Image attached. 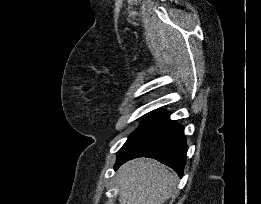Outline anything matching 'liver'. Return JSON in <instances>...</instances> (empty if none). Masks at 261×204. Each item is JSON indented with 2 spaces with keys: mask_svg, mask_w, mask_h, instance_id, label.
Masks as SVG:
<instances>
[{
  "mask_svg": "<svg viewBox=\"0 0 261 204\" xmlns=\"http://www.w3.org/2000/svg\"><path fill=\"white\" fill-rule=\"evenodd\" d=\"M120 204H164L176 192L178 178L152 159H135L117 173Z\"/></svg>",
  "mask_w": 261,
  "mask_h": 204,
  "instance_id": "1",
  "label": "liver"
}]
</instances>
